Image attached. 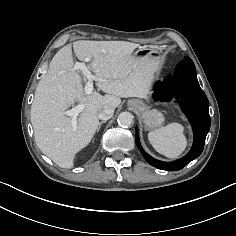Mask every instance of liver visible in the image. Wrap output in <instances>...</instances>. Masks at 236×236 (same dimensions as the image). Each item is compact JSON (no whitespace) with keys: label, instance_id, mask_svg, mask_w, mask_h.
Instances as JSON below:
<instances>
[{"label":"liver","instance_id":"liver-1","mask_svg":"<svg viewBox=\"0 0 236 236\" xmlns=\"http://www.w3.org/2000/svg\"><path fill=\"white\" fill-rule=\"evenodd\" d=\"M139 44L127 41H89L73 43L79 60L89 58L90 68L102 81L96 83L106 95L86 94L84 79L74 69L72 46L66 45L53 57L39 81L31 106L35 142L43 154L62 168H72L76 154L92 140L98 126V113L104 106L116 108L120 98L146 97L159 60L149 55H132ZM78 102L84 106L76 125L64 115Z\"/></svg>","mask_w":236,"mask_h":236}]
</instances>
